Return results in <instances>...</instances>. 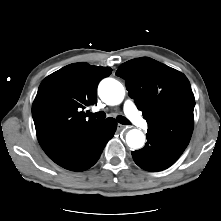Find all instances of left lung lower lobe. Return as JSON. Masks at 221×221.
Instances as JSON below:
<instances>
[{
  "label": "left lung lower lobe",
  "instance_id": "obj_1",
  "mask_svg": "<svg viewBox=\"0 0 221 221\" xmlns=\"http://www.w3.org/2000/svg\"><path fill=\"white\" fill-rule=\"evenodd\" d=\"M185 149L161 137L148 134L145 146L132 152L135 163L147 171H161L170 167Z\"/></svg>",
  "mask_w": 221,
  "mask_h": 221
}]
</instances>
